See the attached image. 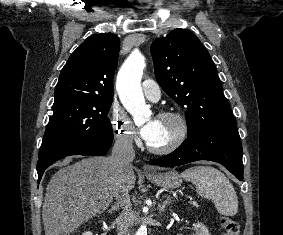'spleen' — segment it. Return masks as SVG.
<instances>
[{
  "label": "spleen",
  "instance_id": "1",
  "mask_svg": "<svg viewBox=\"0 0 283 235\" xmlns=\"http://www.w3.org/2000/svg\"><path fill=\"white\" fill-rule=\"evenodd\" d=\"M181 177L196 186V192L211 200L217 211L225 216L238 212V199L229 179L211 166H195L181 173Z\"/></svg>",
  "mask_w": 283,
  "mask_h": 235
}]
</instances>
